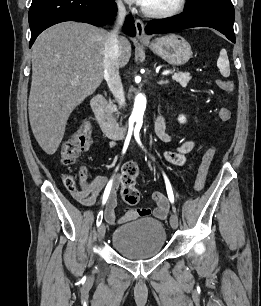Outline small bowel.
Masks as SVG:
<instances>
[{
    "label": "small bowel",
    "instance_id": "obj_1",
    "mask_svg": "<svg viewBox=\"0 0 261 306\" xmlns=\"http://www.w3.org/2000/svg\"><path fill=\"white\" fill-rule=\"evenodd\" d=\"M155 130L159 138L164 142L171 140V135L166 130V125L163 117H159L155 123ZM195 146V142L192 140L186 141L179 146L167 149L164 152V158L167 162L176 165L184 166L186 163V154L189 153ZM111 182V189L109 191L106 205L104 209V218L107 223L115 225L119 222L137 219L143 216L152 214L157 219L163 220L167 217L169 212V203L167 197L161 192H155L153 199L156 202L154 209L140 208L132 209L125 212L122 217H117V195L116 186L117 180L108 179L107 177H96L85 183L81 188H72V197L81 205L85 207H91L95 204L97 195L99 192ZM105 192V191H104ZM103 203V204H105Z\"/></svg>",
    "mask_w": 261,
    "mask_h": 306
}]
</instances>
